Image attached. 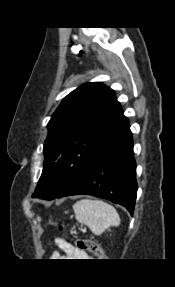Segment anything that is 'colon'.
Listing matches in <instances>:
<instances>
[{
	"mask_svg": "<svg viewBox=\"0 0 175 287\" xmlns=\"http://www.w3.org/2000/svg\"><path fill=\"white\" fill-rule=\"evenodd\" d=\"M49 223L51 225H55V226L58 225L57 222H55L53 220H50ZM59 229L62 230L63 227L59 226ZM75 244L78 248L83 249V250H87L97 257H103V250H102L101 246L92 240L78 238L75 240Z\"/></svg>",
	"mask_w": 175,
	"mask_h": 287,
	"instance_id": "1",
	"label": "colon"
}]
</instances>
